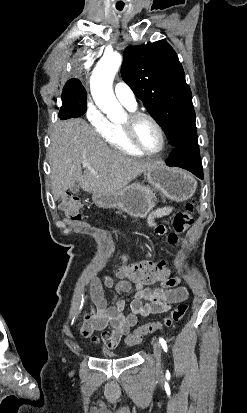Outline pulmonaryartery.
I'll use <instances>...</instances> for the list:
<instances>
[{
	"label": "pulmonary artery",
	"instance_id": "pulmonary-artery-1",
	"mask_svg": "<svg viewBox=\"0 0 247 413\" xmlns=\"http://www.w3.org/2000/svg\"><path fill=\"white\" fill-rule=\"evenodd\" d=\"M114 91L117 99L129 108H135L137 105L135 93L132 87L125 81H117L114 85Z\"/></svg>",
	"mask_w": 247,
	"mask_h": 413
}]
</instances>
